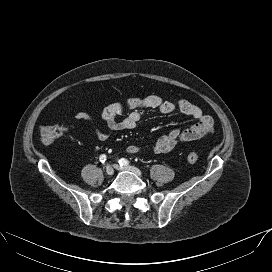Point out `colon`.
Segmentation results:
<instances>
[{
    "instance_id": "5ec220e1",
    "label": "colon",
    "mask_w": 272,
    "mask_h": 272,
    "mask_svg": "<svg viewBox=\"0 0 272 272\" xmlns=\"http://www.w3.org/2000/svg\"><path fill=\"white\" fill-rule=\"evenodd\" d=\"M67 128L62 124H48L40 130V140L43 144H51L55 140L61 138L66 134ZM199 156L195 152H191L187 155V162L194 164L198 161Z\"/></svg>"
}]
</instances>
